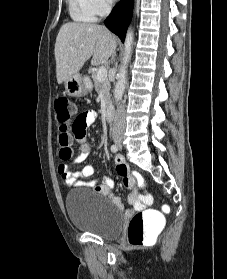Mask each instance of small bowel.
Returning a JSON list of instances; mask_svg holds the SVG:
<instances>
[{"label": "small bowel", "instance_id": "c3829d8e", "mask_svg": "<svg viewBox=\"0 0 227 279\" xmlns=\"http://www.w3.org/2000/svg\"><path fill=\"white\" fill-rule=\"evenodd\" d=\"M85 127L93 124L97 115L94 111L90 110L86 112ZM74 138L80 145V152L72 159L73 164H79L84 162L91 154V148L88 145L85 132L80 134H73ZM118 162H122L121 158L117 159ZM57 172L60 175L65 185L69 187L80 186L84 184H94L95 181L91 180L94 174V167L92 165L85 166L81 171H73L69 164L61 162L58 165ZM123 177L124 185L131 190L128 196L129 202L133 205L135 210H140L151 204L152 196L149 191L145 190L142 194H139L137 187L134 184V175L130 169L126 168V171L120 172ZM114 181L109 177H104L99 183L97 189L105 194L115 205L121 209H125L120 197L112 192Z\"/></svg>", "mask_w": 227, "mask_h": 279}]
</instances>
